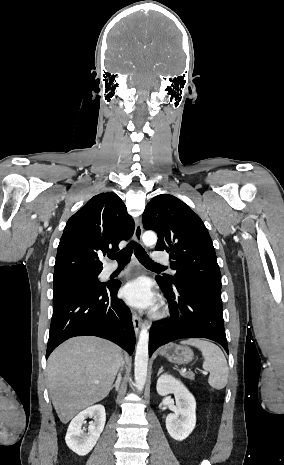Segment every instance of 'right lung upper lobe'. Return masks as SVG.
I'll return each instance as SVG.
<instances>
[{
  "label": "right lung upper lobe",
  "instance_id": "right-lung-upper-lobe-1",
  "mask_svg": "<svg viewBox=\"0 0 284 465\" xmlns=\"http://www.w3.org/2000/svg\"><path fill=\"white\" fill-rule=\"evenodd\" d=\"M134 232L132 217L113 192L100 193L69 218L60 239L53 280L99 274V256L118 251Z\"/></svg>",
  "mask_w": 284,
  "mask_h": 465
}]
</instances>
